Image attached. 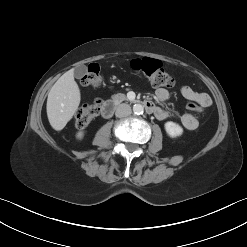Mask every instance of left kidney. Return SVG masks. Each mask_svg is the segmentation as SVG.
I'll return each mask as SVG.
<instances>
[{
  "instance_id": "left-kidney-1",
  "label": "left kidney",
  "mask_w": 247,
  "mask_h": 247,
  "mask_svg": "<svg viewBox=\"0 0 247 247\" xmlns=\"http://www.w3.org/2000/svg\"><path fill=\"white\" fill-rule=\"evenodd\" d=\"M164 127L167 134L172 138L179 137L183 134V128L175 122L168 121L165 123Z\"/></svg>"
}]
</instances>
